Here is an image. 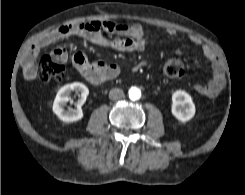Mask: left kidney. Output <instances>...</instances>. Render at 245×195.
Listing matches in <instances>:
<instances>
[{
    "label": "left kidney",
    "instance_id": "1",
    "mask_svg": "<svg viewBox=\"0 0 245 195\" xmlns=\"http://www.w3.org/2000/svg\"><path fill=\"white\" fill-rule=\"evenodd\" d=\"M173 116L180 122L190 121L195 115V104L192 97L183 90H177L172 94Z\"/></svg>",
    "mask_w": 245,
    "mask_h": 195
}]
</instances>
